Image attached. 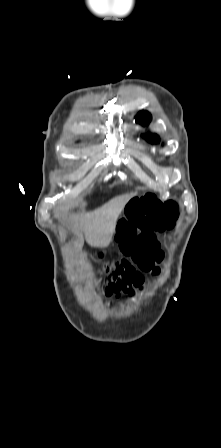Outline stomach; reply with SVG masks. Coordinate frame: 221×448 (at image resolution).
Listing matches in <instances>:
<instances>
[{
	"mask_svg": "<svg viewBox=\"0 0 221 448\" xmlns=\"http://www.w3.org/2000/svg\"><path fill=\"white\" fill-rule=\"evenodd\" d=\"M132 201H133V200H130V201L126 204L125 212H127L128 208L131 207V205H132Z\"/></svg>",
	"mask_w": 221,
	"mask_h": 448,
	"instance_id": "stomach-1",
	"label": "stomach"
}]
</instances>
